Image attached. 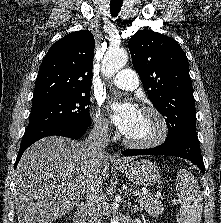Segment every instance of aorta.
<instances>
[{"label": "aorta", "mask_w": 221, "mask_h": 223, "mask_svg": "<svg viewBox=\"0 0 221 223\" xmlns=\"http://www.w3.org/2000/svg\"><path fill=\"white\" fill-rule=\"evenodd\" d=\"M128 61V55L125 50H109L102 61V74L105 77H112L122 69ZM111 223H119L117 217L111 219Z\"/></svg>", "instance_id": "aorta-1"}]
</instances>
